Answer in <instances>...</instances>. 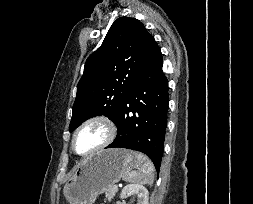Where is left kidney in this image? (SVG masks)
<instances>
[{"instance_id": "obj_1", "label": "left kidney", "mask_w": 253, "mask_h": 204, "mask_svg": "<svg viewBox=\"0 0 253 204\" xmlns=\"http://www.w3.org/2000/svg\"><path fill=\"white\" fill-rule=\"evenodd\" d=\"M134 195L137 199L136 204H148V190L141 184L126 185L120 194V197L127 198Z\"/></svg>"}]
</instances>
